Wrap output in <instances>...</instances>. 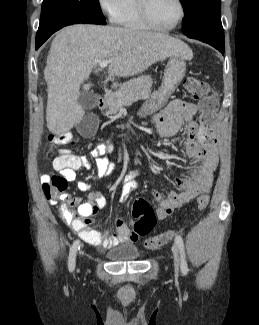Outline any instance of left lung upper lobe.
<instances>
[{"label":"left lung upper lobe","mask_w":259,"mask_h":325,"mask_svg":"<svg viewBox=\"0 0 259 325\" xmlns=\"http://www.w3.org/2000/svg\"><path fill=\"white\" fill-rule=\"evenodd\" d=\"M185 13L182 21L185 35H191L207 25L221 23L220 0H180Z\"/></svg>","instance_id":"left-lung-upper-lobe-1"}]
</instances>
